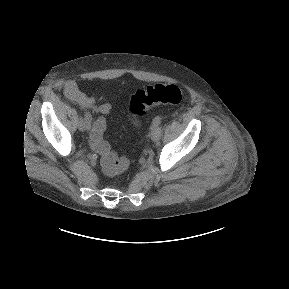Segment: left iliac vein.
I'll return each mask as SVG.
<instances>
[{
    "mask_svg": "<svg viewBox=\"0 0 289 289\" xmlns=\"http://www.w3.org/2000/svg\"><path fill=\"white\" fill-rule=\"evenodd\" d=\"M150 137L153 141H158L161 137V128L159 126H152Z\"/></svg>",
    "mask_w": 289,
    "mask_h": 289,
    "instance_id": "left-iliac-vein-1",
    "label": "left iliac vein"
}]
</instances>
